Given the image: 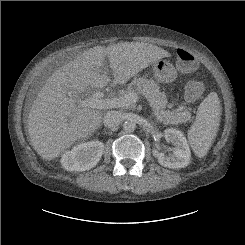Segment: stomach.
I'll return each instance as SVG.
<instances>
[{
    "instance_id": "stomach-1",
    "label": "stomach",
    "mask_w": 245,
    "mask_h": 245,
    "mask_svg": "<svg viewBox=\"0 0 245 245\" xmlns=\"http://www.w3.org/2000/svg\"><path fill=\"white\" fill-rule=\"evenodd\" d=\"M153 75L158 82L170 83L175 80L177 72L171 63L160 59L153 64Z\"/></svg>"
}]
</instances>
